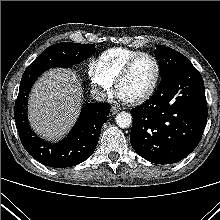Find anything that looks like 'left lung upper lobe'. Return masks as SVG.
<instances>
[{
  "mask_svg": "<svg viewBox=\"0 0 220 220\" xmlns=\"http://www.w3.org/2000/svg\"><path fill=\"white\" fill-rule=\"evenodd\" d=\"M155 55L160 63L161 80L175 70L192 66L184 55L163 45L156 46Z\"/></svg>",
  "mask_w": 220,
  "mask_h": 220,
  "instance_id": "1",
  "label": "left lung upper lobe"
}]
</instances>
